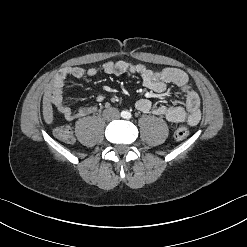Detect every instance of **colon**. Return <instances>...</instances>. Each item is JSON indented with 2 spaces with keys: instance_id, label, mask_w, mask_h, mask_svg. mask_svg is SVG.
<instances>
[{
  "instance_id": "5ec220e1",
  "label": "colon",
  "mask_w": 247,
  "mask_h": 247,
  "mask_svg": "<svg viewBox=\"0 0 247 247\" xmlns=\"http://www.w3.org/2000/svg\"><path fill=\"white\" fill-rule=\"evenodd\" d=\"M131 101L132 102H137L138 101V96L137 95H132L131 96ZM54 135L65 142H72L73 141V133L72 130L69 126L65 125H60L56 126L53 130ZM189 136V130L185 127H180L175 130L173 137L176 141H182L186 139Z\"/></svg>"
}]
</instances>
